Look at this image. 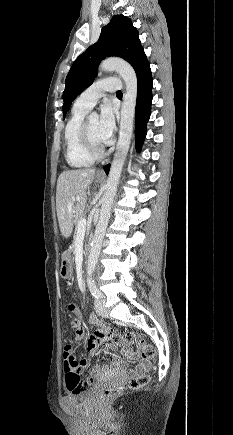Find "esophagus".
I'll return each mask as SVG.
<instances>
[{"instance_id":"1","label":"esophagus","mask_w":233,"mask_h":435,"mask_svg":"<svg viewBox=\"0 0 233 435\" xmlns=\"http://www.w3.org/2000/svg\"><path fill=\"white\" fill-rule=\"evenodd\" d=\"M98 175H100V176H104V175H105V173H104V171H103V170H100V171L98 172Z\"/></svg>"}]
</instances>
